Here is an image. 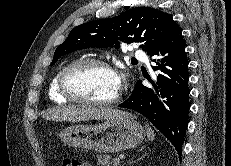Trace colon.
Returning <instances> with one entry per match:
<instances>
[{"label":"colon","mask_w":231,"mask_h":166,"mask_svg":"<svg viewBox=\"0 0 231 166\" xmlns=\"http://www.w3.org/2000/svg\"><path fill=\"white\" fill-rule=\"evenodd\" d=\"M62 166H84V164L76 160L65 159L62 162Z\"/></svg>","instance_id":"colon-1"}]
</instances>
